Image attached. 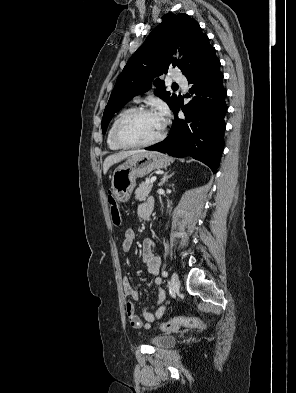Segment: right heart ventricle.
<instances>
[{
	"label": "right heart ventricle",
	"mask_w": 296,
	"mask_h": 393,
	"mask_svg": "<svg viewBox=\"0 0 296 393\" xmlns=\"http://www.w3.org/2000/svg\"><path fill=\"white\" fill-rule=\"evenodd\" d=\"M132 109H133V107H131V106L123 108L122 110H120L117 113V115L114 117L113 121L111 122L110 127L107 132V136H106V142H107L109 149L114 150V151L123 149V147L118 145L114 140V129H115L117 122L120 120V118Z\"/></svg>",
	"instance_id": "obj_1"
}]
</instances>
